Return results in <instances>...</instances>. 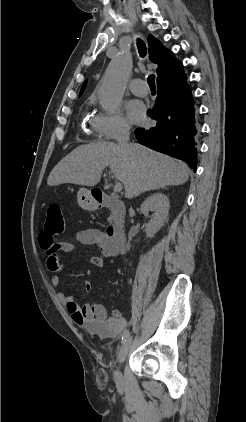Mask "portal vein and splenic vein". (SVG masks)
I'll return each mask as SVG.
<instances>
[{"label":"portal vein and splenic vein","instance_id":"portal-vein-and-splenic-vein-1","mask_svg":"<svg viewBox=\"0 0 246 422\" xmlns=\"http://www.w3.org/2000/svg\"><path fill=\"white\" fill-rule=\"evenodd\" d=\"M122 189H123L122 184L120 182H116L115 186H114V192H116V193L121 192Z\"/></svg>","mask_w":246,"mask_h":422}]
</instances>
